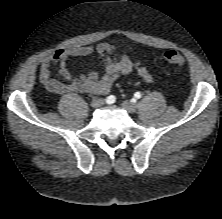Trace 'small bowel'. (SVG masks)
<instances>
[{"label":"small bowel","instance_id":"c3829d8e","mask_svg":"<svg viewBox=\"0 0 222 219\" xmlns=\"http://www.w3.org/2000/svg\"><path fill=\"white\" fill-rule=\"evenodd\" d=\"M121 45L114 43H99L91 46H75L65 49H57L44 58L39 69V80L50 92L65 94L72 92L106 95L110 92L117 79L133 71L147 83L153 81L152 75L139 62L130 56L117 57L115 52ZM128 51H132L130 44L125 45ZM97 55L103 65V74L91 69L86 74L74 77L67 64L73 57H89ZM57 66L59 74L66 82H60L52 78L51 70Z\"/></svg>","mask_w":222,"mask_h":219}]
</instances>
